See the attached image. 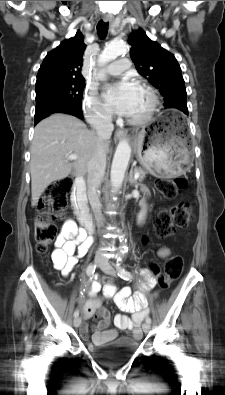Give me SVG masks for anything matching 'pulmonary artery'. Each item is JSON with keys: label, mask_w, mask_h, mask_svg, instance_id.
<instances>
[{"label": "pulmonary artery", "mask_w": 225, "mask_h": 395, "mask_svg": "<svg viewBox=\"0 0 225 395\" xmlns=\"http://www.w3.org/2000/svg\"><path fill=\"white\" fill-rule=\"evenodd\" d=\"M130 67V60L128 58H120L119 60L108 65L104 72L107 75L116 76L122 74Z\"/></svg>", "instance_id": "1"}]
</instances>
